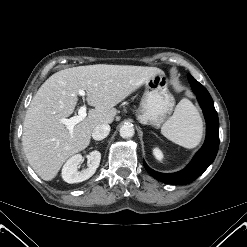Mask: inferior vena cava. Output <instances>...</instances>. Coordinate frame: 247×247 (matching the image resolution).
Listing matches in <instances>:
<instances>
[{"instance_id":"1","label":"inferior vena cava","mask_w":247,"mask_h":247,"mask_svg":"<svg viewBox=\"0 0 247 247\" xmlns=\"http://www.w3.org/2000/svg\"><path fill=\"white\" fill-rule=\"evenodd\" d=\"M110 132V126L108 124L97 125L92 132L94 140H103L108 136Z\"/></svg>"}]
</instances>
